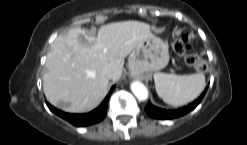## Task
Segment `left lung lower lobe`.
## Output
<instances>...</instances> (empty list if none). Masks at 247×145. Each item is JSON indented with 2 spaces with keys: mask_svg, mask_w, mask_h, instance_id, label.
<instances>
[{
  "mask_svg": "<svg viewBox=\"0 0 247 145\" xmlns=\"http://www.w3.org/2000/svg\"><path fill=\"white\" fill-rule=\"evenodd\" d=\"M206 93V90L200 95V97L194 101L193 103L189 104L188 106H185L183 108L177 109V110H165L160 109L158 107L153 106L150 102L145 107L146 113L156 119H172L177 118L180 116H183L193 110L203 99L204 95Z\"/></svg>",
  "mask_w": 247,
  "mask_h": 145,
  "instance_id": "left-lung-lower-lobe-1",
  "label": "left lung lower lobe"
}]
</instances>
